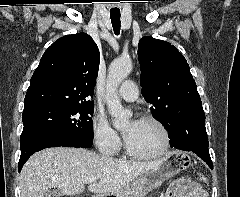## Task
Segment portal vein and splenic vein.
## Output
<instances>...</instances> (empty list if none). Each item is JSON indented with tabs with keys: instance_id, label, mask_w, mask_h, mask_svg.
<instances>
[{
	"instance_id": "18ae733b",
	"label": "portal vein and splenic vein",
	"mask_w": 240,
	"mask_h": 197,
	"mask_svg": "<svg viewBox=\"0 0 240 197\" xmlns=\"http://www.w3.org/2000/svg\"><path fill=\"white\" fill-rule=\"evenodd\" d=\"M95 180L94 179H86V180H84V183H92V182H94Z\"/></svg>"
}]
</instances>
